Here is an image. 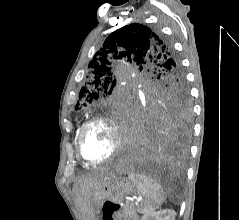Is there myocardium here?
I'll return each instance as SVG.
<instances>
[{
    "label": "myocardium",
    "instance_id": "obj_1",
    "mask_svg": "<svg viewBox=\"0 0 239 220\" xmlns=\"http://www.w3.org/2000/svg\"><path fill=\"white\" fill-rule=\"evenodd\" d=\"M96 124L109 125L115 134L116 142H115V147H114L112 153L108 157H106L102 160L94 161V160L88 159L85 156V154L83 152V141H84V137H85L87 131L92 126H94ZM121 147H122V136H121L120 129L117 126V124L115 123V120L113 118L107 117V116L100 115V116L93 117L92 119L87 121L80 129L78 137H77V150H78L79 157L82 159V161L85 164L91 165V166H97V165H101V164L111 161L112 159H114L116 157V155L120 151Z\"/></svg>",
    "mask_w": 239,
    "mask_h": 220
}]
</instances>
